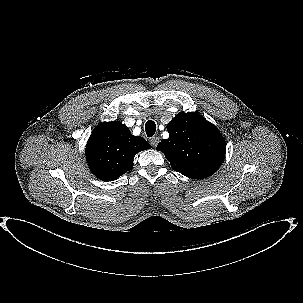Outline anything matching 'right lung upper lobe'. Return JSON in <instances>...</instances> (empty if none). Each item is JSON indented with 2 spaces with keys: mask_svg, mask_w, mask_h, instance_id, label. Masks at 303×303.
I'll list each match as a JSON object with an SVG mask.
<instances>
[{
  "mask_svg": "<svg viewBox=\"0 0 303 303\" xmlns=\"http://www.w3.org/2000/svg\"><path fill=\"white\" fill-rule=\"evenodd\" d=\"M151 146L141 136H134L119 121L101 123L86 145V159L99 179L113 181L133 167L138 152Z\"/></svg>",
  "mask_w": 303,
  "mask_h": 303,
  "instance_id": "obj_1",
  "label": "right lung upper lobe"
}]
</instances>
